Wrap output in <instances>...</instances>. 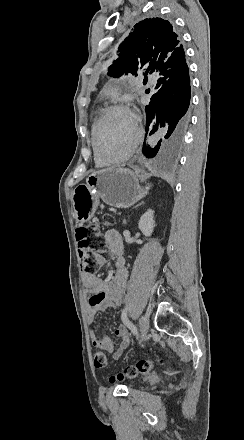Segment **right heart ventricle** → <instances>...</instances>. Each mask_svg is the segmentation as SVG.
Instances as JSON below:
<instances>
[{
  "label": "right heart ventricle",
  "mask_w": 244,
  "mask_h": 440,
  "mask_svg": "<svg viewBox=\"0 0 244 440\" xmlns=\"http://www.w3.org/2000/svg\"><path fill=\"white\" fill-rule=\"evenodd\" d=\"M101 120H102V114H100V116L97 118V120L94 122V124H93V126H92V129H91V144H92V147L95 149L96 147L94 146V139H95V133L97 132V123L98 122H101ZM101 134H103V133H101ZM100 145H101V143H100ZM100 148V147H99ZM101 149V148H100ZM95 161H96V165H97V167H99V168H103V167H106V166H109L110 165V162H108V161H104V160H102V159H100L97 155L95 156Z\"/></svg>",
  "instance_id": "e07e8e85"
}]
</instances>
